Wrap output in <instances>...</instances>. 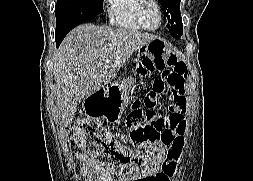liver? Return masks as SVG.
Wrapping results in <instances>:
<instances>
[{
	"instance_id": "1",
	"label": "liver",
	"mask_w": 253,
	"mask_h": 181,
	"mask_svg": "<svg viewBox=\"0 0 253 181\" xmlns=\"http://www.w3.org/2000/svg\"><path fill=\"white\" fill-rule=\"evenodd\" d=\"M155 39L152 34L106 25L83 24L70 31L52 58L60 124L68 125L79 102L111 83L134 51Z\"/></svg>"
}]
</instances>
